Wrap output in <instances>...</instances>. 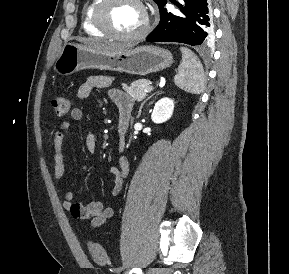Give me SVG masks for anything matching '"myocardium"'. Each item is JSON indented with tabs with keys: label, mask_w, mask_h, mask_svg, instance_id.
<instances>
[{
	"label": "myocardium",
	"mask_w": 289,
	"mask_h": 274,
	"mask_svg": "<svg viewBox=\"0 0 289 274\" xmlns=\"http://www.w3.org/2000/svg\"><path fill=\"white\" fill-rule=\"evenodd\" d=\"M119 1H130L138 4L145 13V23L143 27L133 34H121L114 31L107 22V13L111 5ZM93 22L96 28H98L104 35L118 40V41H137L147 35L151 26V19L148 13L147 7L142 0H99L96 4L93 12Z\"/></svg>",
	"instance_id": "1"
}]
</instances>
